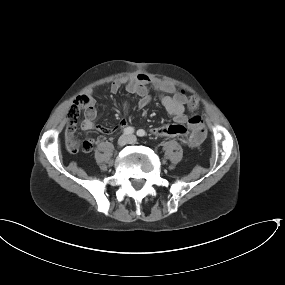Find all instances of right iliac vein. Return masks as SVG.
I'll use <instances>...</instances> for the list:
<instances>
[{"instance_id": "obj_1", "label": "right iliac vein", "mask_w": 285, "mask_h": 285, "mask_svg": "<svg viewBox=\"0 0 285 285\" xmlns=\"http://www.w3.org/2000/svg\"><path fill=\"white\" fill-rule=\"evenodd\" d=\"M129 142V137L126 135H123L118 140V146L123 147Z\"/></svg>"}]
</instances>
